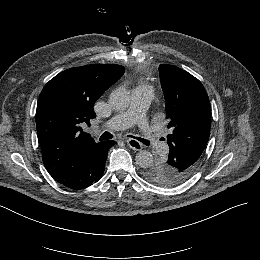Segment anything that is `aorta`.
Segmentation results:
<instances>
[{
	"mask_svg": "<svg viewBox=\"0 0 260 260\" xmlns=\"http://www.w3.org/2000/svg\"><path fill=\"white\" fill-rule=\"evenodd\" d=\"M110 104L114 109L123 111L130 105V93L125 88H117L110 94ZM136 164L141 168H148L153 164V155L147 150H141L136 154Z\"/></svg>",
	"mask_w": 260,
	"mask_h": 260,
	"instance_id": "aorta-1",
	"label": "aorta"
}]
</instances>
